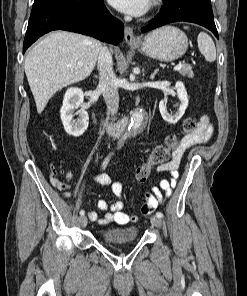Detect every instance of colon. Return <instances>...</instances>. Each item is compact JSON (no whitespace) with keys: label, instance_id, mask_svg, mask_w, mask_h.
I'll return each instance as SVG.
<instances>
[{"label":"colon","instance_id":"1","mask_svg":"<svg viewBox=\"0 0 247 296\" xmlns=\"http://www.w3.org/2000/svg\"><path fill=\"white\" fill-rule=\"evenodd\" d=\"M196 121L194 118H187L182 125L180 133L170 134L163 144L156 146L151 152L149 158L145 163L140 165L136 172L135 178L139 183H144L151 172V170L158 165L166 163L179 144L182 135H189L195 131Z\"/></svg>","mask_w":247,"mask_h":296}]
</instances>
